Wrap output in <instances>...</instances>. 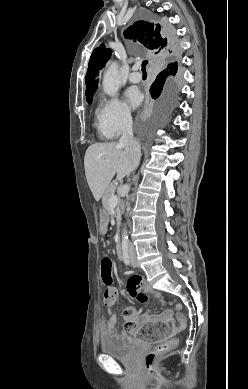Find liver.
Listing matches in <instances>:
<instances>
[{"mask_svg": "<svg viewBox=\"0 0 248 389\" xmlns=\"http://www.w3.org/2000/svg\"><path fill=\"white\" fill-rule=\"evenodd\" d=\"M84 168L96 200H100L116 174L117 180H122L133 169L130 155L115 142L90 145L85 153Z\"/></svg>", "mask_w": 248, "mask_h": 389, "instance_id": "liver-1", "label": "liver"}]
</instances>
